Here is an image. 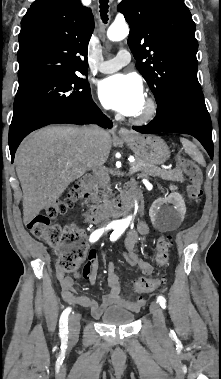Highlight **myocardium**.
I'll return each mask as SVG.
<instances>
[{"mask_svg":"<svg viewBox=\"0 0 221 379\" xmlns=\"http://www.w3.org/2000/svg\"><path fill=\"white\" fill-rule=\"evenodd\" d=\"M144 103H145V106H144L143 111L140 114L135 115L131 119V121L135 124H146L150 122L157 113V104H156V101L152 97L148 96L145 99Z\"/></svg>","mask_w":221,"mask_h":379,"instance_id":"f54148a6","label":"myocardium"}]
</instances>
